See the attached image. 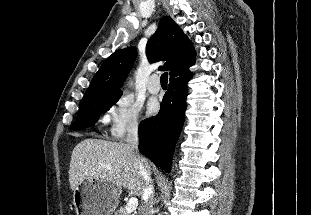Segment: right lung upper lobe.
Masks as SVG:
<instances>
[{
    "label": "right lung upper lobe",
    "instance_id": "obj_1",
    "mask_svg": "<svg viewBox=\"0 0 311 215\" xmlns=\"http://www.w3.org/2000/svg\"><path fill=\"white\" fill-rule=\"evenodd\" d=\"M146 55L150 62L166 61L170 79L186 71L195 62L194 48L180 27L164 16L154 35L148 40ZM136 58L135 47L115 51L101 65L80 103L103 97L122 95L120 87Z\"/></svg>",
    "mask_w": 311,
    "mask_h": 215
}]
</instances>
